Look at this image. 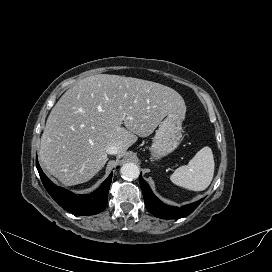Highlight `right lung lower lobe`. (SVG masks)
I'll return each mask as SVG.
<instances>
[{
  "label": "right lung lower lobe",
  "instance_id": "obj_1",
  "mask_svg": "<svg viewBox=\"0 0 272 272\" xmlns=\"http://www.w3.org/2000/svg\"><path fill=\"white\" fill-rule=\"evenodd\" d=\"M36 167L42 183L50 196L65 210L77 215L88 216L98 214L106 207L112 173L95 192L88 195H75L64 188L54 185L41 170L37 158Z\"/></svg>",
  "mask_w": 272,
  "mask_h": 272
}]
</instances>
